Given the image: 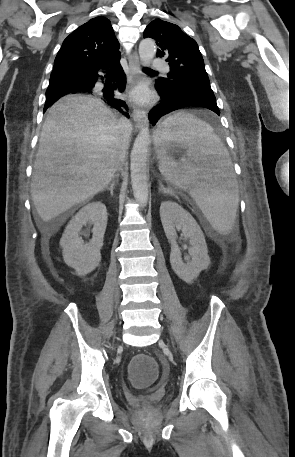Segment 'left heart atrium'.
Here are the masks:
<instances>
[{
	"instance_id": "39dd6f15",
	"label": "left heart atrium",
	"mask_w": 295,
	"mask_h": 457,
	"mask_svg": "<svg viewBox=\"0 0 295 457\" xmlns=\"http://www.w3.org/2000/svg\"><path fill=\"white\" fill-rule=\"evenodd\" d=\"M131 96L136 102L139 103H147L151 99V95L148 88L143 84H140L137 87H135L131 93Z\"/></svg>"
}]
</instances>
